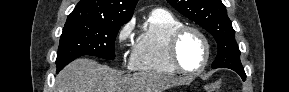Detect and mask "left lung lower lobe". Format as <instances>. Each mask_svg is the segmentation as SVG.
<instances>
[{"instance_id": "obj_1", "label": "left lung lower lobe", "mask_w": 289, "mask_h": 92, "mask_svg": "<svg viewBox=\"0 0 289 92\" xmlns=\"http://www.w3.org/2000/svg\"><path fill=\"white\" fill-rule=\"evenodd\" d=\"M236 72L241 76L243 81L246 79V74L244 70H236Z\"/></svg>"}]
</instances>
